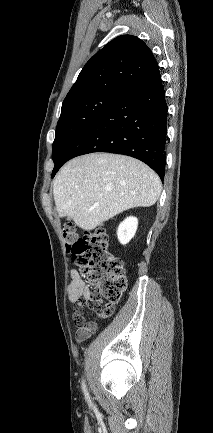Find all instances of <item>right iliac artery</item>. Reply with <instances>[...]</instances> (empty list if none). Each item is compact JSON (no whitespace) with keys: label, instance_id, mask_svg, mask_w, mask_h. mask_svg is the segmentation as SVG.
<instances>
[{"label":"right iliac artery","instance_id":"1","mask_svg":"<svg viewBox=\"0 0 213 433\" xmlns=\"http://www.w3.org/2000/svg\"><path fill=\"white\" fill-rule=\"evenodd\" d=\"M82 389H83V392H84V394H85L86 399L88 400V402H90L89 393H88V391H87V387H86V385H85L84 380L82 381Z\"/></svg>","mask_w":213,"mask_h":433}]
</instances>
